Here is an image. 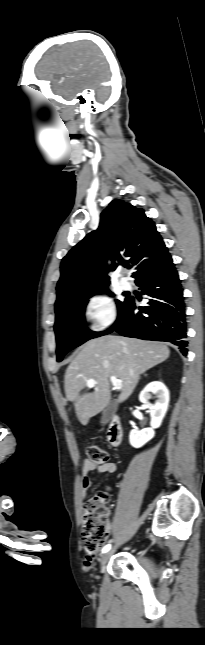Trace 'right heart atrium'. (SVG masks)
<instances>
[{"label":"right heart atrium","mask_w":205,"mask_h":645,"mask_svg":"<svg viewBox=\"0 0 205 645\" xmlns=\"http://www.w3.org/2000/svg\"><path fill=\"white\" fill-rule=\"evenodd\" d=\"M83 315L93 332L108 330L117 320L118 312L114 301L103 293L90 295L83 306Z\"/></svg>","instance_id":"d8ad5b80"}]
</instances>
